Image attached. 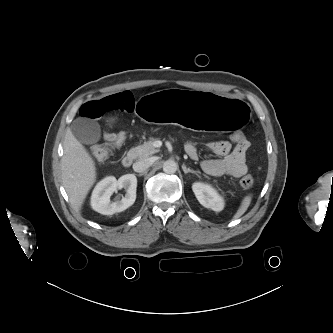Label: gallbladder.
<instances>
[{
	"instance_id": "gallbladder-1",
	"label": "gallbladder",
	"mask_w": 333,
	"mask_h": 333,
	"mask_svg": "<svg viewBox=\"0 0 333 333\" xmlns=\"http://www.w3.org/2000/svg\"><path fill=\"white\" fill-rule=\"evenodd\" d=\"M73 135L83 144H93L100 139V126L86 117H78L71 125Z\"/></svg>"
}]
</instances>
